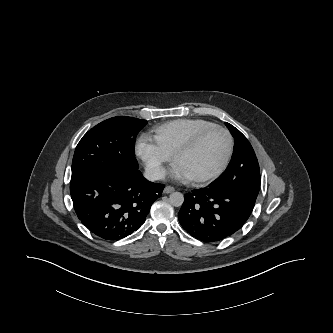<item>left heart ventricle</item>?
<instances>
[{
    "mask_svg": "<svg viewBox=\"0 0 333 333\" xmlns=\"http://www.w3.org/2000/svg\"><path fill=\"white\" fill-rule=\"evenodd\" d=\"M228 143L219 130L209 133L192 151L181 156L177 165L188 177H203L216 171L225 159Z\"/></svg>",
    "mask_w": 333,
    "mask_h": 333,
    "instance_id": "left-heart-ventricle-1",
    "label": "left heart ventricle"
}]
</instances>
